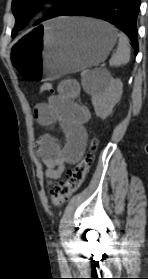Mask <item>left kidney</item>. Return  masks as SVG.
I'll list each match as a JSON object with an SVG mask.
<instances>
[{
  "mask_svg": "<svg viewBox=\"0 0 148 279\" xmlns=\"http://www.w3.org/2000/svg\"><path fill=\"white\" fill-rule=\"evenodd\" d=\"M122 92L121 80L114 79L108 72H103L98 79L97 89L91 97L96 116L106 119L120 101Z\"/></svg>",
  "mask_w": 148,
  "mask_h": 279,
  "instance_id": "5707ae66",
  "label": "left kidney"
}]
</instances>
